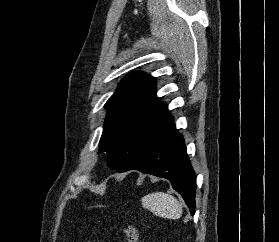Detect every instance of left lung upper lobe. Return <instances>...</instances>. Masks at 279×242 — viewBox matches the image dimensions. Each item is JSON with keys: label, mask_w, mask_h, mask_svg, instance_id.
Instances as JSON below:
<instances>
[{"label": "left lung upper lobe", "mask_w": 279, "mask_h": 242, "mask_svg": "<svg viewBox=\"0 0 279 242\" xmlns=\"http://www.w3.org/2000/svg\"><path fill=\"white\" fill-rule=\"evenodd\" d=\"M156 80L133 72L127 75L105 104L107 116L99 153L106 152L109 166L120 173L175 126L166 104L156 97Z\"/></svg>", "instance_id": "1"}]
</instances>
